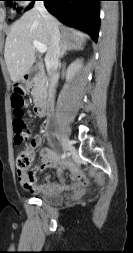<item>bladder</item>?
Masks as SVG:
<instances>
[{
  "mask_svg": "<svg viewBox=\"0 0 133 253\" xmlns=\"http://www.w3.org/2000/svg\"><path fill=\"white\" fill-rule=\"evenodd\" d=\"M37 197L44 203L51 205L61 204L64 200L62 195L51 192H41L37 195Z\"/></svg>",
  "mask_w": 133,
  "mask_h": 253,
  "instance_id": "bladder-1",
  "label": "bladder"
}]
</instances>
